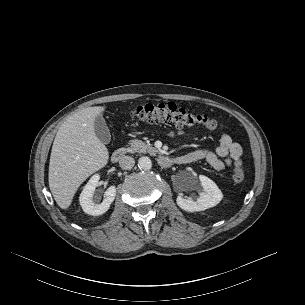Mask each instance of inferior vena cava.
<instances>
[{
    "instance_id": "602c4592",
    "label": "inferior vena cava",
    "mask_w": 305,
    "mask_h": 305,
    "mask_svg": "<svg viewBox=\"0 0 305 305\" xmlns=\"http://www.w3.org/2000/svg\"><path fill=\"white\" fill-rule=\"evenodd\" d=\"M134 164H135V160L131 156H123L119 161L120 167L125 170L132 169Z\"/></svg>"
}]
</instances>
